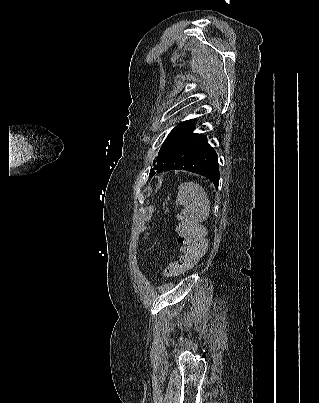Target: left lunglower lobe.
Instances as JSON below:
<instances>
[{"instance_id":"0a47b994","label":"left lung lower lobe","mask_w":319,"mask_h":403,"mask_svg":"<svg viewBox=\"0 0 319 403\" xmlns=\"http://www.w3.org/2000/svg\"><path fill=\"white\" fill-rule=\"evenodd\" d=\"M194 126L172 156L164 171L186 170L205 176L216 188L219 184V165L215 150L202 134L193 133Z\"/></svg>"}]
</instances>
